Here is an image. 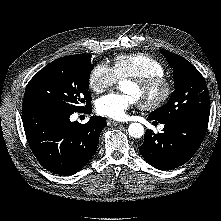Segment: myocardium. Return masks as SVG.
Instances as JSON below:
<instances>
[{"label":"myocardium","instance_id":"1","mask_svg":"<svg viewBox=\"0 0 221 221\" xmlns=\"http://www.w3.org/2000/svg\"><path fill=\"white\" fill-rule=\"evenodd\" d=\"M132 82H134L137 87L144 92L156 87H160L162 89L161 94L153 100H137V104L142 110L153 111L162 107L169 100L173 93V85L171 81L164 75L132 78Z\"/></svg>","mask_w":221,"mask_h":221}]
</instances>
